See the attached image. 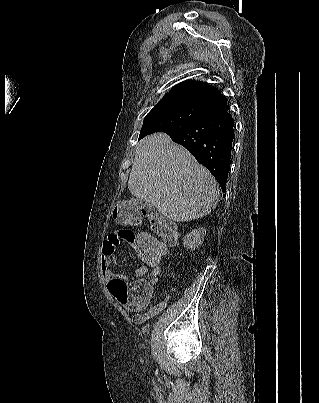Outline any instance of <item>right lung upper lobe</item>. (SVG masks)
Masks as SVG:
<instances>
[{"instance_id": "1", "label": "right lung upper lobe", "mask_w": 319, "mask_h": 403, "mask_svg": "<svg viewBox=\"0 0 319 403\" xmlns=\"http://www.w3.org/2000/svg\"><path fill=\"white\" fill-rule=\"evenodd\" d=\"M190 102L211 110L212 114L229 110L224 96L215 87L205 82L187 80L167 93L158 104Z\"/></svg>"}]
</instances>
